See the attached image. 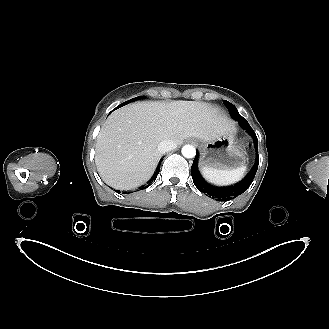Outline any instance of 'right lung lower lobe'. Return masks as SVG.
<instances>
[{
  "instance_id": "obj_1",
  "label": "right lung lower lobe",
  "mask_w": 329,
  "mask_h": 329,
  "mask_svg": "<svg viewBox=\"0 0 329 329\" xmlns=\"http://www.w3.org/2000/svg\"><path fill=\"white\" fill-rule=\"evenodd\" d=\"M117 108H118V107H117ZM117 108H115V109H117ZM159 170H160V163H159V165H158V167H157V169H156V171H155L153 177H152L151 180L149 181L148 185H150V183H151L153 180L156 179V177H157V175H158V173H159Z\"/></svg>"
}]
</instances>
